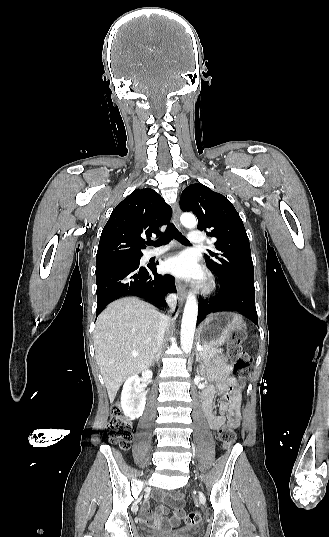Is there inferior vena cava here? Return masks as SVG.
Masks as SVG:
<instances>
[{
  "label": "inferior vena cava",
  "mask_w": 329,
  "mask_h": 537,
  "mask_svg": "<svg viewBox=\"0 0 329 537\" xmlns=\"http://www.w3.org/2000/svg\"><path fill=\"white\" fill-rule=\"evenodd\" d=\"M166 302L171 307V310H173L175 307V303H176V296L174 294H170L166 298ZM169 321H170V318L168 316L161 315L160 323H159V331L157 334V346L159 348L163 342L164 334H165L166 329L168 328Z\"/></svg>",
  "instance_id": "obj_1"
}]
</instances>
